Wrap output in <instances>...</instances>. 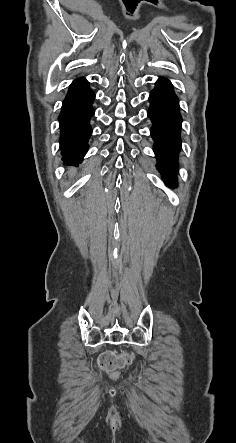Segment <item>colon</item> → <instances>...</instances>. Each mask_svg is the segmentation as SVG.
I'll list each match as a JSON object with an SVG mask.
<instances>
[{
  "mask_svg": "<svg viewBox=\"0 0 236 443\" xmlns=\"http://www.w3.org/2000/svg\"><path fill=\"white\" fill-rule=\"evenodd\" d=\"M133 360L134 356L131 353L115 355L114 353L107 352L101 355L99 363L104 370L114 371L117 368L130 365Z\"/></svg>",
  "mask_w": 236,
  "mask_h": 443,
  "instance_id": "5ec220e1",
  "label": "colon"
}]
</instances>
